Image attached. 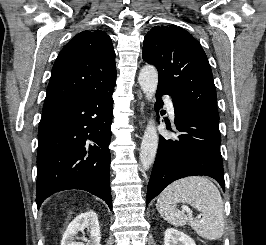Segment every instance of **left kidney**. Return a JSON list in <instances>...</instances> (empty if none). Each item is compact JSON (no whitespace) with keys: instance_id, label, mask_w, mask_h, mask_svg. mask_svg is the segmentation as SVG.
<instances>
[{"instance_id":"1","label":"left kidney","mask_w":266,"mask_h":245,"mask_svg":"<svg viewBox=\"0 0 266 245\" xmlns=\"http://www.w3.org/2000/svg\"><path fill=\"white\" fill-rule=\"evenodd\" d=\"M164 245H195L193 239L177 229H166Z\"/></svg>"}]
</instances>
